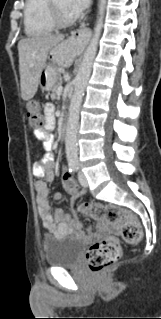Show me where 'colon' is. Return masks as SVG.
<instances>
[{"instance_id":"obj_1","label":"colon","mask_w":161,"mask_h":319,"mask_svg":"<svg viewBox=\"0 0 161 319\" xmlns=\"http://www.w3.org/2000/svg\"><path fill=\"white\" fill-rule=\"evenodd\" d=\"M26 115L35 129L42 130L44 119L41 106L38 103H29L26 107ZM46 149H50V145H47ZM63 182L68 189L75 187L67 178H64ZM81 209L93 220H105L118 225L124 242L128 244L140 242L142 232L138 219L134 215L126 213L120 206L83 204ZM121 255L122 251L117 238L111 236L92 244L86 251L85 260L89 270L94 275L100 276L106 269L116 265Z\"/></svg>"}]
</instances>
